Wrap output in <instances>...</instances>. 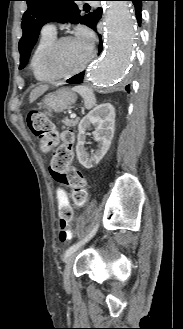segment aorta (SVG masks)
I'll return each mask as SVG.
<instances>
[{"label": "aorta", "mask_w": 183, "mask_h": 329, "mask_svg": "<svg viewBox=\"0 0 183 329\" xmlns=\"http://www.w3.org/2000/svg\"><path fill=\"white\" fill-rule=\"evenodd\" d=\"M106 50L90 71V79L106 89L118 84L128 68L135 39L134 13L126 1H113L105 11Z\"/></svg>", "instance_id": "aorta-1"}]
</instances>
